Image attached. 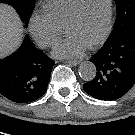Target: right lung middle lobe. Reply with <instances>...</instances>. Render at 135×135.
Here are the masks:
<instances>
[{
    "instance_id": "obj_1",
    "label": "right lung middle lobe",
    "mask_w": 135,
    "mask_h": 135,
    "mask_svg": "<svg viewBox=\"0 0 135 135\" xmlns=\"http://www.w3.org/2000/svg\"><path fill=\"white\" fill-rule=\"evenodd\" d=\"M0 2H6L15 6L27 25L34 8L35 0H0Z\"/></svg>"
}]
</instances>
